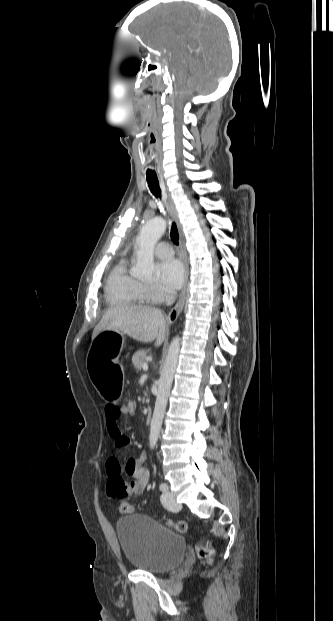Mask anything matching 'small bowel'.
<instances>
[{
    "label": "small bowel",
    "instance_id": "c3829d8e",
    "mask_svg": "<svg viewBox=\"0 0 333 621\" xmlns=\"http://www.w3.org/2000/svg\"><path fill=\"white\" fill-rule=\"evenodd\" d=\"M123 415L122 408L116 404H107L104 409L106 428L109 436L114 440L117 448L127 447L131 444L130 439L123 433L119 420ZM144 455L129 458L123 465L116 457L108 458L106 469L108 481L106 494L110 499H123L141 494L148 482L149 471L143 467ZM127 474L131 481L123 479Z\"/></svg>",
    "mask_w": 333,
    "mask_h": 621
}]
</instances>
